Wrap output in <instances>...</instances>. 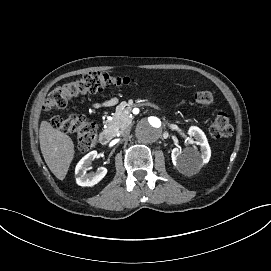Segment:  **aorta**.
Returning <instances> with one entry per match:
<instances>
[{
	"instance_id": "aorta-1",
	"label": "aorta",
	"mask_w": 271,
	"mask_h": 271,
	"mask_svg": "<svg viewBox=\"0 0 271 271\" xmlns=\"http://www.w3.org/2000/svg\"><path fill=\"white\" fill-rule=\"evenodd\" d=\"M163 125L159 118L149 117L138 122L135 128L137 140L144 144L156 142L162 135Z\"/></svg>"
}]
</instances>
